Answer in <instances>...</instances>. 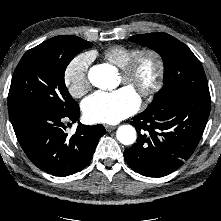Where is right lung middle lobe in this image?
Listing matches in <instances>:
<instances>
[{
    "mask_svg": "<svg viewBox=\"0 0 221 221\" xmlns=\"http://www.w3.org/2000/svg\"><path fill=\"white\" fill-rule=\"evenodd\" d=\"M92 45L76 36L61 35L28 50L12 77L9 116L30 109L65 113L77 108L65 86L64 73L70 61Z\"/></svg>",
    "mask_w": 221,
    "mask_h": 221,
    "instance_id": "dd1d6c3e",
    "label": "right lung middle lobe"
}]
</instances>
